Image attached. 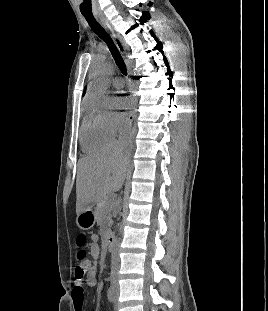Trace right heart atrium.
I'll use <instances>...</instances> for the list:
<instances>
[{"label":"right heart atrium","mask_w":268,"mask_h":311,"mask_svg":"<svg viewBox=\"0 0 268 311\" xmlns=\"http://www.w3.org/2000/svg\"><path fill=\"white\" fill-rule=\"evenodd\" d=\"M90 109L101 120L105 128L114 136L125 129L126 124L123 117L118 112L114 111L108 100H93Z\"/></svg>","instance_id":"right-heart-atrium-1"}]
</instances>
